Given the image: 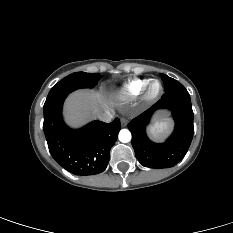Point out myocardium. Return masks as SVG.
<instances>
[{
    "label": "myocardium",
    "mask_w": 233,
    "mask_h": 233,
    "mask_svg": "<svg viewBox=\"0 0 233 233\" xmlns=\"http://www.w3.org/2000/svg\"><path fill=\"white\" fill-rule=\"evenodd\" d=\"M157 85V90H153V87ZM163 92V86L159 80H151L144 88V99L148 102L157 100Z\"/></svg>",
    "instance_id": "obj_1"
}]
</instances>
